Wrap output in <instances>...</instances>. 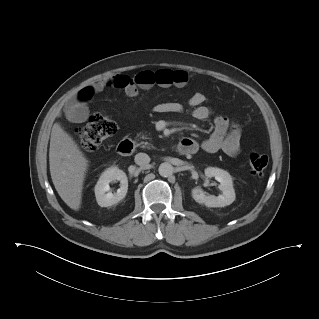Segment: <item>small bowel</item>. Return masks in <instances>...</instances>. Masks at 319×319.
<instances>
[{"instance_id":"small-bowel-1","label":"small bowel","mask_w":319,"mask_h":319,"mask_svg":"<svg viewBox=\"0 0 319 319\" xmlns=\"http://www.w3.org/2000/svg\"><path fill=\"white\" fill-rule=\"evenodd\" d=\"M187 81L188 73L184 70H146L139 73L134 79L126 75H112L82 88L76 100L70 104L68 116L73 122L85 121L89 115V109L85 102L104 90L120 89L127 96L136 97L139 88L147 90L155 84L161 87L182 86ZM205 102L206 96L201 92H196L189 98L188 107L191 109L194 118L207 120L213 116V109L206 106ZM154 110L157 113H181L185 110V107L178 102H167L156 105ZM183 140L192 141L196 144L192 154L202 148L208 153L221 150L229 156H236L240 152L241 129L237 123L231 121L226 115L218 114L214 116V130L208 139L200 144L191 138Z\"/></svg>"}]
</instances>
